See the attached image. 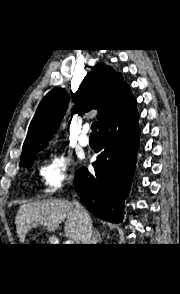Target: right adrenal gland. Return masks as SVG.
<instances>
[{"instance_id": "obj_1", "label": "right adrenal gland", "mask_w": 180, "mask_h": 294, "mask_svg": "<svg viewBox=\"0 0 180 294\" xmlns=\"http://www.w3.org/2000/svg\"><path fill=\"white\" fill-rule=\"evenodd\" d=\"M101 241H102L101 234L99 233L98 230L95 229L93 234L92 244H97L98 242H101Z\"/></svg>"}]
</instances>
